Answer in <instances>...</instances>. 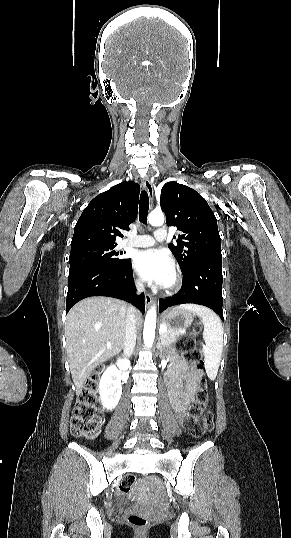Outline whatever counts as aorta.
<instances>
[{"label": "aorta", "mask_w": 291, "mask_h": 538, "mask_svg": "<svg viewBox=\"0 0 291 538\" xmlns=\"http://www.w3.org/2000/svg\"><path fill=\"white\" fill-rule=\"evenodd\" d=\"M148 222L153 226H160L164 223L162 212H151L148 216ZM157 312L155 306H152L146 314L143 330V341L146 347H152L155 338Z\"/></svg>", "instance_id": "aorta-1"}]
</instances>
